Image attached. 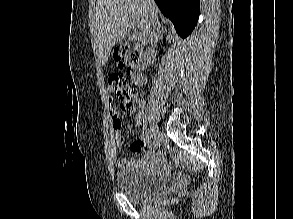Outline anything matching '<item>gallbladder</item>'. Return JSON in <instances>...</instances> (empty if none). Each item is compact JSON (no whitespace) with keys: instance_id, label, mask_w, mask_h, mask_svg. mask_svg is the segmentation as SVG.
I'll return each mask as SVG.
<instances>
[{"instance_id":"1","label":"gallbladder","mask_w":293,"mask_h":219,"mask_svg":"<svg viewBox=\"0 0 293 219\" xmlns=\"http://www.w3.org/2000/svg\"><path fill=\"white\" fill-rule=\"evenodd\" d=\"M135 39V34L130 35L128 38L129 41H134Z\"/></svg>"}]
</instances>
